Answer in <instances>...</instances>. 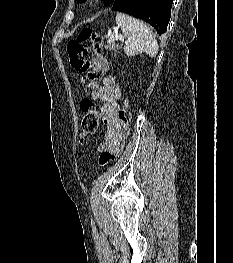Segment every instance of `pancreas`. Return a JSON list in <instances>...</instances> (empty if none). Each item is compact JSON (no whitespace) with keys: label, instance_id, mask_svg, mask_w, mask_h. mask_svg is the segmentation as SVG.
I'll use <instances>...</instances> for the list:
<instances>
[{"label":"pancreas","instance_id":"pancreas-1","mask_svg":"<svg viewBox=\"0 0 233 263\" xmlns=\"http://www.w3.org/2000/svg\"><path fill=\"white\" fill-rule=\"evenodd\" d=\"M107 50L111 51L113 55L117 54V50L121 49V46L119 44H110L105 47Z\"/></svg>","mask_w":233,"mask_h":263}]
</instances>
